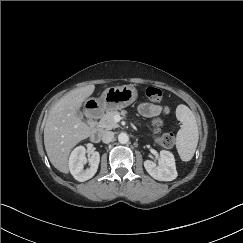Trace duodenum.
<instances>
[{"mask_svg":"<svg viewBox=\"0 0 243 243\" xmlns=\"http://www.w3.org/2000/svg\"><path fill=\"white\" fill-rule=\"evenodd\" d=\"M103 113L102 109H98L95 115H101ZM101 139V133L98 130L96 125L92 126V131H91V140L93 142H98Z\"/></svg>","mask_w":243,"mask_h":243,"instance_id":"obj_1","label":"duodenum"}]
</instances>
